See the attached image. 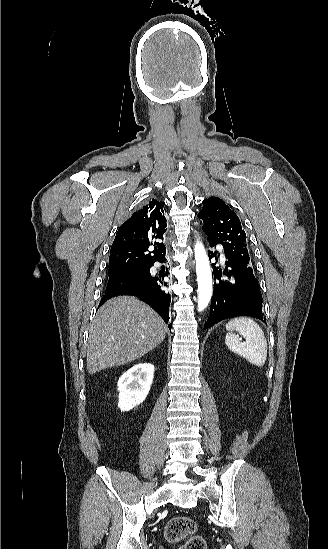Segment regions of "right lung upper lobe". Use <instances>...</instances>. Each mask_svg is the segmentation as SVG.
<instances>
[{
    "instance_id": "1",
    "label": "right lung upper lobe",
    "mask_w": 328,
    "mask_h": 549,
    "mask_svg": "<svg viewBox=\"0 0 328 549\" xmlns=\"http://www.w3.org/2000/svg\"><path fill=\"white\" fill-rule=\"evenodd\" d=\"M164 202L152 199L134 212L117 231L109 257L110 274L129 270L150 269L165 256L163 235L166 231ZM154 250L151 255L149 247Z\"/></svg>"
}]
</instances>
